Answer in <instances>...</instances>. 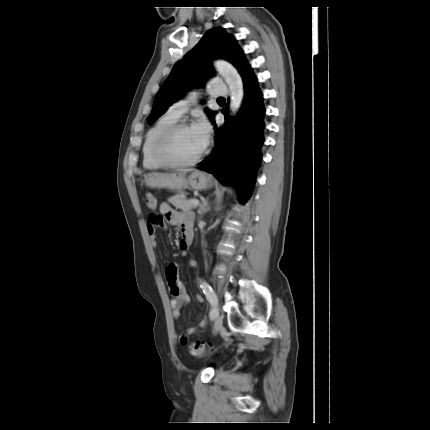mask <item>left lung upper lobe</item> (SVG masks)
<instances>
[{
	"label": "left lung upper lobe",
	"mask_w": 430,
	"mask_h": 430,
	"mask_svg": "<svg viewBox=\"0 0 430 430\" xmlns=\"http://www.w3.org/2000/svg\"><path fill=\"white\" fill-rule=\"evenodd\" d=\"M217 57L231 62L241 76L246 72L251 73L243 52L233 37L223 28H213L207 31L200 42L174 65L155 98L148 124H152L173 102L196 85L198 77L210 75L209 62ZM207 113L211 117L214 115L210 110H207Z\"/></svg>",
	"instance_id": "5c2ea615"
}]
</instances>
